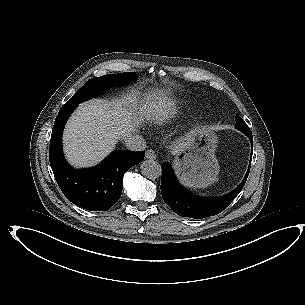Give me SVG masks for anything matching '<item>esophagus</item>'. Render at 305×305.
<instances>
[{
	"mask_svg": "<svg viewBox=\"0 0 305 305\" xmlns=\"http://www.w3.org/2000/svg\"><path fill=\"white\" fill-rule=\"evenodd\" d=\"M145 157L150 160H154L156 158V153L152 149H148L145 153Z\"/></svg>",
	"mask_w": 305,
	"mask_h": 305,
	"instance_id": "1",
	"label": "esophagus"
}]
</instances>
